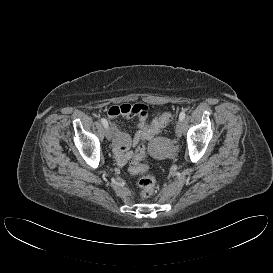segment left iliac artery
I'll use <instances>...</instances> for the list:
<instances>
[{
	"label": "left iliac artery",
	"instance_id": "obj_1",
	"mask_svg": "<svg viewBox=\"0 0 273 273\" xmlns=\"http://www.w3.org/2000/svg\"><path fill=\"white\" fill-rule=\"evenodd\" d=\"M185 116H186L185 112L182 111V112L180 113V115H179V119H180V120H183V119L185 118Z\"/></svg>",
	"mask_w": 273,
	"mask_h": 273
}]
</instances>
